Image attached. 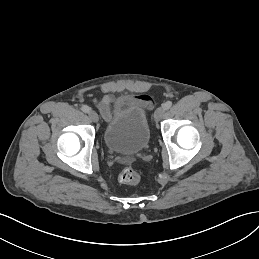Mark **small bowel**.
<instances>
[{
	"mask_svg": "<svg viewBox=\"0 0 259 259\" xmlns=\"http://www.w3.org/2000/svg\"><path fill=\"white\" fill-rule=\"evenodd\" d=\"M115 100L116 99L112 94H106L102 97L101 100L96 102V106L106 121H108L111 117L110 108ZM130 103H136L146 108H150L152 106V99L147 95H133L123 102V104Z\"/></svg>",
	"mask_w": 259,
	"mask_h": 259,
	"instance_id": "c3829d8e",
	"label": "small bowel"
}]
</instances>
